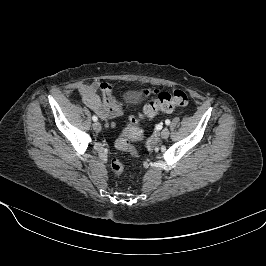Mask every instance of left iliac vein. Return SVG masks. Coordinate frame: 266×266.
Returning <instances> with one entry per match:
<instances>
[{"mask_svg":"<svg viewBox=\"0 0 266 266\" xmlns=\"http://www.w3.org/2000/svg\"><path fill=\"white\" fill-rule=\"evenodd\" d=\"M169 134H170V131L168 128H164L162 131H161V137L163 139H167L169 137Z\"/></svg>","mask_w":266,"mask_h":266,"instance_id":"obj_1","label":"left iliac vein"}]
</instances>
